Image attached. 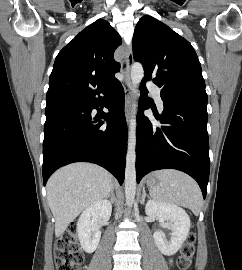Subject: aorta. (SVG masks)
Instances as JSON below:
<instances>
[{
  "instance_id": "1",
  "label": "aorta",
  "mask_w": 242,
  "mask_h": 270,
  "mask_svg": "<svg viewBox=\"0 0 242 270\" xmlns=\"http://www.w3.org/2000/svg\"><path fill=\"white\" fill-rule=\"evenodd\" d=\"M144 76V70L141 63H134L131 68V82L134 96L138 94V87ZM136 116L135 110L129 124L128 150L126 155L125 168V196L126 204L132 207L136 194Z\"/></svg>"
}]
</instances>
